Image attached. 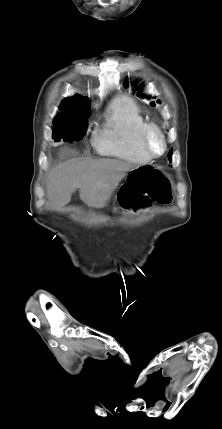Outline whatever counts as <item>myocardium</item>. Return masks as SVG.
I'll return each mask as SVG.
<instances>
[{"label":"myocardium","instance_id":"myocardium-1","mask_svg":"<svg viewBox=\"0 0 222 429\" xmlns=\"http://www.w3.org/2000/svg\"><path fill=\"white\" fill-rule=\"evenodd\" d=\"M152 133L157 134L163 144V149L160 153H155L149 145V137ZM141 147L144 150V152L151 158V159H156V158H160L162 157L167 149H168V144H167V140H166V136L165 133L162 131V129L155 123H147L142 131L141 134Z\"/></svg>","mask_w":222,"mask_h":429}]
</instances>
